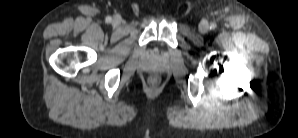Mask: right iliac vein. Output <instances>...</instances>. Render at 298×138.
Returning a JSON list of instances; mask_svg holds the SVG:
<instances>
[{
	"instance_id": "obj_1",
	"label": "right iliac vein",
	"mask_w": 298,
	"mask_h": 138,
	"mask_svg": "<svg viewBox=\"0 0 298 138\" xmlns=\"http://www.w3.org/2000/svg\"><path fill=\"white\" fill-rule=\"evenodd\" d=\"M121 20L122 19L120 15H115L112 20L113 26H119L121 24Z\"/></svg>"
}]
</instances>
